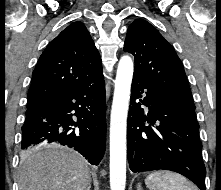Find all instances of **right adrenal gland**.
Wrapping results in <instances>:
<instances>
[{"mask_svg": "<svg viewBox=\"0 0 221 190\" xmlns=\"http://www.w3.org/2000/svg\"><path fill=\"white\" fill-rule=\"evenodd\" d=\"M90 188H91V185H89L88 188H87L86 190H90Z\"/></svg>", "mask_w": 221, "mask_h": 190, "instance_id": "obj_1", "label": "right adrenal gland"}]
</instances>
